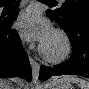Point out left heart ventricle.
Masks as SVG:
<instances>
[{
    "label": "left heart ventricle",
    "instance_id": "b2bd125f",
    "mask_svg": "<svg viewBox=\"0 0 89 89\" xmlns=\"http://www.w3.org/2000/svg\"><path fill=\"white\" fill-rule=\"evenodd\" d=\"M47 50L52 54H57L61 50L62 43L59 37L51 34L48 40L45 42Z\"/></svg>",
    "mask_w": 89,
    "mask_h": 89
}]
</instances>
